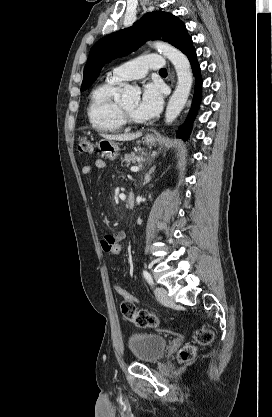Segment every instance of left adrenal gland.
<instances>
[{"mask_svg": "<svg viewBox=\"0 0 272 417\" xmlns=\"http://www.w3.org/2000/svg\"><path fill=\"white\" fill-rule=\"evenodd\" d=\"M155 167L151 168L148 173L145 174V183H149L151 180V174L154 172Z\"/></svg>", "mask_w": 272, "mask_h": 417, "instance_id": "obj_1", "label": "left adrenal gland"}]
</instances>
